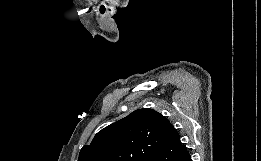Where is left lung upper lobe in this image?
I'll list each match as a JSON object with an SVG mask.
<instances>
[{
  "label": "left lung upper lobe",
  "instance_id": "1",
  "mask_svg": "<svg viewBox=\"0 0 261 161\" xmlns=\"http://www.w3.org/2000/svg\"><path fill=\"white\" fill-rule=\"evenodd\" d=\"M177 135L171 123L152 109H138L99 131L84 145L78 161H150Z\"/></svg>",
  "mask_w": 261,
  "mask_h": 161
}]
</instances>
